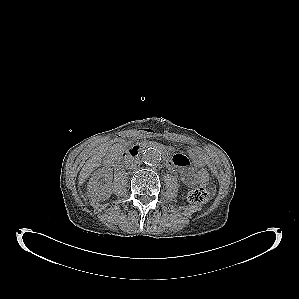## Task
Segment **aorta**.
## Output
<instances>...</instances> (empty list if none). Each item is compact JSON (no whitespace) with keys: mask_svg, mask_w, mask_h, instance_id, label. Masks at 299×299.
Here are the masks:
<instances>
[{"mask_svg":"<svg viewBox=\"0 0 299 299\" xmlns=\"http://www.w3.org/2000/svg\"><path fill=\"white\" fill-rule=\"evenodd\" d=\"M143 161L148 165H155L161 161V151L155 147L144 150Z\"/></svg>","mask_w":299,"mask_h":299,"instance_id":"obj_1","label":"aorta"}]
</instances>
